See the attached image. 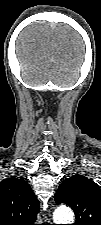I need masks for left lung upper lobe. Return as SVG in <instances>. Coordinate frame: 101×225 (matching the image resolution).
Returning a JSON list of instances; mask_svg holds the SVG:
<instances>
[{"label": "left lung upper lobe", "mask_w": 101, "mask_h": 225, "mask_svg": "<svg viewBox=\"0 0 101 225\" xmlns=\"http://www.w3.org/2000/svg\"><path fill=\"white\" fill-rule=\"evenodd\" d=\"M55 201L74 210V225H101V190L87 177L74 175L64 180L56 191Z\"/></svg>", "instance_id": "left-lung-upper-lobe-1"}]
</instances>
